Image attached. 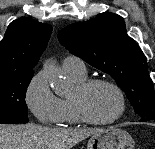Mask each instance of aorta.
I'll list each match as a JSON object with an SVG mask.
<instances>
[{"label":"aorta","mask_w":155,"mask_h":149,"mask_svg":"<svg viewBox=\"0 0 155 149\" xmlns=\"http://www.w3.org/2000/svg\"><path fill=\"white\" fill-rule=\"evenodd\" d=\"M43 71L48 77L51 87L56 95L66 96L70 92L71 83L62 74L54 61H46L43 66Z\"/></svg>","instance_id":"aorta-1"}]
</instances>
